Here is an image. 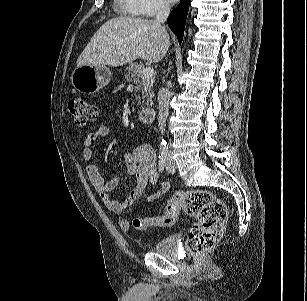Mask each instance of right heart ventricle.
<instances>
[{
  "instance_id": "obj_1",
  "label": "right heart ventricle",
  "mask_w": 307,
  "mask_h": 301,
  "mask_svg": "<svg viewBox=\"0 0 307 301\" xmlns=\"http://www.w3.org/2000/svg\"><path fill=\"white\" fill-rule=\"evenodd\" d=\"M118 1V7L123 10L125 13L136 16L138 15L132 7L131 0H117Z\"/></svg>"
}]
</instances>
